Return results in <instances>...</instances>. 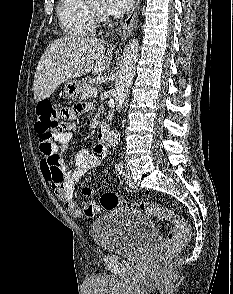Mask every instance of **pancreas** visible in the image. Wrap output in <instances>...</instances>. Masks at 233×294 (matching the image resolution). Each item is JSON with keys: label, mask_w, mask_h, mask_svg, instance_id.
Here are the masks:
<instances>
[{"label": "pancreas", "mask_w": 233, "mask_h": 294, "mask_svg": "<svg viewBox=\"0 0 233 294\" xmlns=\"http://www.w3.org/2000/svg\"><path fill=\"white\" fill-rule=\"evenodd\" d=\"M92 80L91 79H87L86 81L83 82L82 84V95H81V99H88L91 94L89 93L90 89H92Z\"/></svg>", "instance_id": "pancreas-1"}]
</instances>
